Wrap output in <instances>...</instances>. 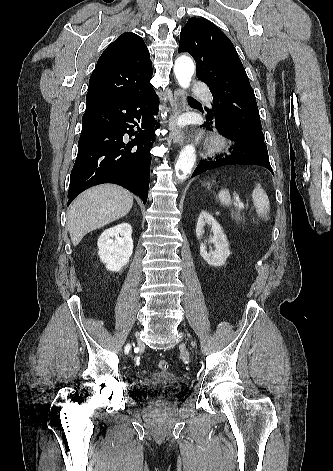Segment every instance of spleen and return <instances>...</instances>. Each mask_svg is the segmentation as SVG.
Instances as JSON below:
<instances>
[{"mask_svg":"<svg viewBox=\"0 0 333 471\" xmlns=\"http://www.w3.org/2000/svg\"><path fill=\"white\" fill-rule=\"evenodd\" d=\"M218 198L223 205H229L231 203V197L228 190H221L218 193ZM252 199L256 207L257 214L259 216H266L270 209V203L267 194L260 184H256V187L252 192Z\"/></svg>","mask_w":333,"mask_h":471,"instance_id":"obj_1","label":"spleen"}]
</instances>
